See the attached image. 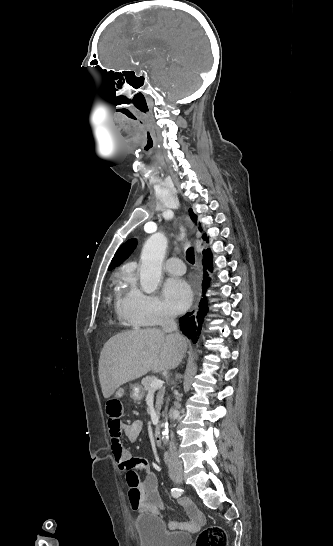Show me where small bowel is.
<instances>
[{
  "instance_id": "small-bowel-1",
  "label": "small bowel",
  "mask_w": 333,
  "mask_h": 546,
  "mask_svg": "<svg viewBox=\"0 0 333 546\" xmlns=\"http://www.w3.org/2000/svg\"><path fill=\"white\" fill-rule=\"evenodd\" d=\"M123 386L117 387V392L113 396H123ZM107 426L111 438V449L121 471L126 472V482L129 487V502L133 510L146 512L156 516L164 508L165 502L157 488L156 476L150 472L148 462L144 459L133 458L125 449L122 434L127 440L134 443L142 431V422L135 420L130 424L118 422H109ZM138 473H145L142 481H139ZM181 505L187 511L191 521L181 522L170 520L169 525L173 528H187L195 530L203 523V516L189 499H182Z\"/></svg>"
}]
</instances>
